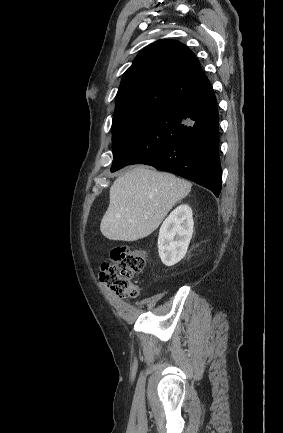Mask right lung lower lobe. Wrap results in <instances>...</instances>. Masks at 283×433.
<instances>
[{
    "label": "right lung lower lobe",
    "instance_id": "98d812e1",
    "mask_svg": "<svg viewBox=\"0 0 283 433\" xmlns=\"http://www.w3.org/2000/svg\"><path fill=\"white\" fill-rule=\"evenodd\" d=\"M219 116L211 86L162 111L113 159L111 171L151 165L221 191Z\"/></svg>",
    "mask_w": 283,
    "mask_h": 433
}]
</instances>
